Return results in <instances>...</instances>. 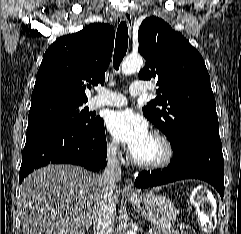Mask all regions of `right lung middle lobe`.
<instances>
[{
    "mask_svg": "<svg viewBox=\"0 0 241 234\" xmlns=\"http://www.w3.org/2000/svg\"><path fill=\"white\" fill-rule=\"evenodd\" d=\"M85 104L67 101H47L31 105L28 130L46 126H64L84 132L98 127L101 118H94Z\"/></svg>",
    "mask_w": 241,
    "mask_h": 234,
    "instance_id": "right-lung-middle-lobe-1",
    "label": "right lung middle lobe"
}]
</instances>
